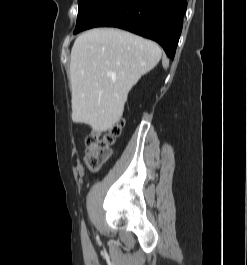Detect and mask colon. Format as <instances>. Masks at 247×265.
Listing matches in <instances>:
<instances>
[{
	"instance_id": "1",
	"label": "colon",
	"mask_w": 247,
	"mask_h": 265,
	"mask_svg": "<svg viewBox=\"0 0 247 265\" xmlns=\"http://www.w3.org/2000/svg\"><path fill=\"white\" fill-rule=\"evenodd\" d=\"M124 121L120 120L106 133L91 132L86 138L85 163L89 170L97 171L111 156V145L120 135Z\"/></svg>"
}]
</instances>
